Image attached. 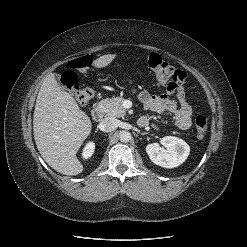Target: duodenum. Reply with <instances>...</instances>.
I'll return each instance as SVG.
<instances>
[{
    "instance_id": "410a0bca",
    "label": "duodenum",
    "mask_w": 247,
    "mask_h": 247,
    "mask_svg": "<svg viewBox=\"0 0 247 247\" xmlns=\"http://www.w3.org/2000/svg\"><path fill=\"white\" fill-rule=\"evenodd\" d=\"M92 118L94 121H101L103 119V116H104V109H103V106L101 104H97L93 110H92ZM138 124L139 126L141 127H145L148 125V122L143 119V118H140L138 120Z\"/></svg>"
}]
</instances>
